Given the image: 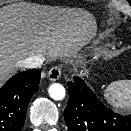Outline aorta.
<instances>
[{"mask_svg": "<svg viewBox=\"0 0 131 131\" xmlns=\"http://www.w3.org/2000/svg\"><path fill=\"white\" fill-rule=\"evenodd\" d=\"M49 95L54 100H62L65 97L66 91L65 88L59 83H53L49 87Z\"/></svg>", "mask_w": 131, "mask_h": 131, "instance_id": "1", "label": "aorta"}]
</instances>
